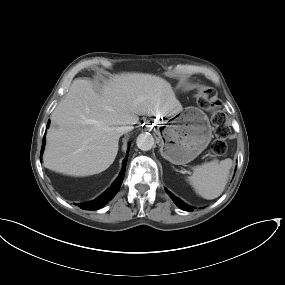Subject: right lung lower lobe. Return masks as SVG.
<instances>
[{
	"mask_svg": "<svg viewBox=\"0 0 285 285\" xmlns=\"http://www.w3.org/2000/svg\"><path fill=\"white\" fill-rule=\"evenodd\" d=\"M48 126H49V123H48L47 127ZM44 144H45V137L43 138V142H42L43 146L41 147V154L43 153V150H44ZM40 158H41V156H40ZM127 158H128V152H127V157L123 160V169H122L120 175L118 176V178L114 181V183L112 184V186L108 190H106L102 195H100L95 200H92L90 202H85V203H78L76 205H78V207H80L81 209H84V210H98V209L102 208L105 204H107V202L109 200H111L113 198V196L120 189V186L122 184L124 174H125V167H126Z\"/></svg>",
	"mask_w": 285,
	"mask_h": 285,
	"instance_id": "right-lung-lower-lobe-1",
	"label": "right lung lower lobe"
}]
</instances>
